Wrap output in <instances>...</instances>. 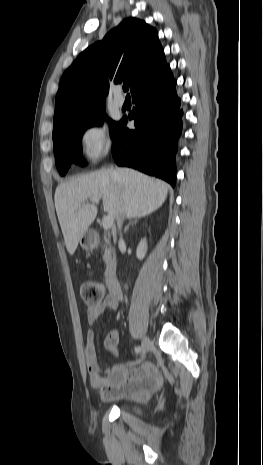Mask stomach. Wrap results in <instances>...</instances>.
<instances>
[{"label": "stomach", "instance_id": "obj_1", "mask_svg": "<svg viewBox=\"0 0 263 465\" xmlns=\"http://www.w3.org/2000/svg\"><path fill=\"white\" fill-rule=\"evenodd\" d=\"M81 247L85 250H93L97 246L96 235L86 231L79 241Z\"/></svg>", "mask_w": 263, "mask_h": 465}]
</instances>
